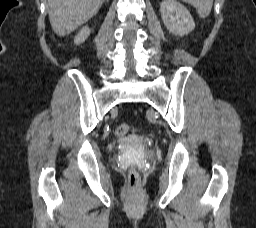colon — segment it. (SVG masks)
<instances>
[{
	"label": "colon",
	"mask_w": 256,
	"mask_h": 228,
	"mask_svg": "<svg viewBox=\"0 0 256 228\" xmlns=\"http://www.w3.org/2000/svg\"><path fill=\"white\" fill-rule=\"evenodd\" d=\"M131 132V127L127 123H120L116 127V134L126 136ZM128 185L131 189H137L140 185V175L136 170H131L128 176Z\"/></svg>",
	"instance_id": "5ec220e1"
}]
</instances>
